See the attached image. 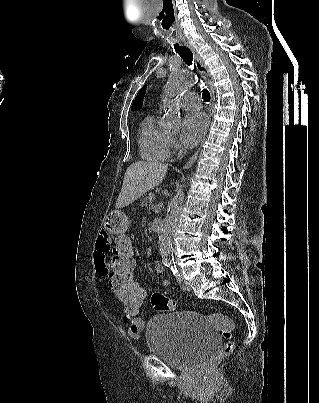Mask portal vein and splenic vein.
Listing matches in <instances>:
<instances>
[{
    "label": "portal vein and splenic vein",
    "mask_w": 319,
    "mask_h": 403,
    "mask_svg": "<svg viewBox=\"0 0 319 403\" xmlns=\"http://www.w3.org/2000/svg\"><path fill=\"white\" fill-rule=\"evenodd\" d=\"M154 208H155V205H154V204L150 206V209H154Z\"/></svg>",
    "instance_id": "1"
}]
</instances>
